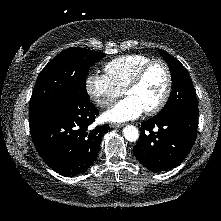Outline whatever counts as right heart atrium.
I'll return each instance as SVG.
<instances>
[{
    "instance_id": "right-heart-atrium-1",
    "label": "right heart atrium",
    "mask_w": 221,
    "mask_h": 221,
    "mask_svg": "<svg viewBox=\"0 0 221 221\" xmlns=\"http://www.w3.org/2000/svg\"><path fill=\"white\" fill-rule=\"evenodd\" d=\"M85 88L91 100L102 108H109L123 90L114 85L106 75L90 73L85 82Z\"/></svg>"
}]
</instances>
